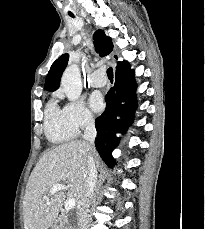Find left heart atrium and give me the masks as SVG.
Wrapping results in <instances>:
<instances>
[{"instance_id":"left-heart-atrium-1","label":"left heart atrium","mask_w":205,"mask_h":229,"mask_svg":"<svg viewBox=\"0 0 205 229\" xmlns=\"http://www.w3.org/2000/svg\"><path fill=\"white\" fill-rule=\"evenodd\" d=\"M89 103H90L91 108L94 111L98 112V111H101L103 108V100L99 94H96V93L92 94L90 96Z\"/></svg>"}]
</instances>
